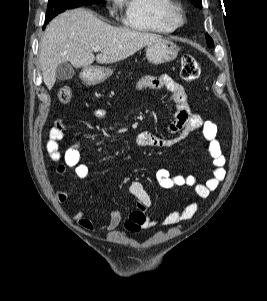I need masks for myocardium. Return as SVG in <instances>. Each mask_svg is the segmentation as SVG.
<instances>
[{
	"mask_svg": "<svg viewBox=\"0 0 267 301\" xmlns=\"http://www.w3.org/2000/svg\"><path fill=\"white\" fill-rule=\"evenodd\" d=\"M166 14L176 26L182 25L185 21L184 8L182 4L176 0H170V3L166 6Z\"/></svg>",
	"mask_w": 267,
	"mask_h": 301,
	"instance_id": "obj_1",
	"label": "myocardium"
}]
</instances>
